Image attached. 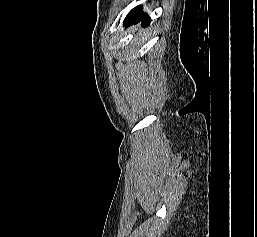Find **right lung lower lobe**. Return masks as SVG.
<instances>
[{
    "label": "right lung lower lobe",
    "mask_w": 257,
    "mask_h": 237,
    "mask_svg": "<svg viewBox=\"0 0 257 237\" xmlns=\"http://www.w3.org/2000/svg\"><path fill=\"white\" fill-rule=\"evenodd\" d=\"M141 9H142L141 6H137L130 11V13L125 18V21H124L125 26L132 25L133 23H137L139 21H141L142 24H145V25L150 23L151 21L150 18L148 17V15L142 13Z\"/></svg>",
    "instance_id": "obj_1"
}]
</instances>
